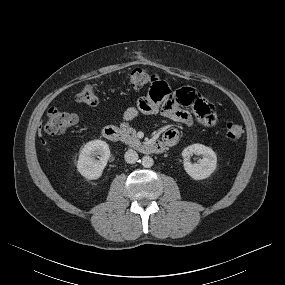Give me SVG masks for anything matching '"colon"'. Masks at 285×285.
Segmentation results:
<instances>
[{
  "label": "colon",
  "instance_id": "5ec220e1",
  "mask_svg": "<svg viewBox=\"0 0 285 285\" xmlns=\"http://www.w3.org/2000/svg\"><path fill=\"white\" fill-rule=\"evenodd\" d=\"M159 78L158 76L148 73L142 69H135L127 75V84L131 89H140L148 87L149 82ZM76 101L87 106H95L98 103L96 90L92 85H85L76 95ZM77 124V117L74 114L50 108L47 112L45 121V131L49 135H59L66 133L70 128ZM227 138L238 140L244 133V128L240 123L228 122L225 126Z\"/></svg>",
  "mask_w": 285,
  "mask_h": 285
}]
</instances>
